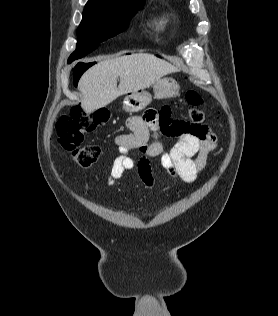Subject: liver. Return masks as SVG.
<instances>
[{
	"instance_id": "liver-1",
	"label": "liver",
	"mask_w": 278,
	"mask_h": 316,
	"mask_svg": "<svg viewBox=\"0 0 278 316\" xmlns=\"http://www.w3.org/2000/svg\"><path fill=\"white\" fill-rule=\"evenodd\" d=\"M178 72L167 61L148 53L106 59L89 68L81 77L82 107L87 113L102 108L117 97L150 87L161 77ZM120 83L117 87V79Z\"/></svg>"
}]
</instances>
